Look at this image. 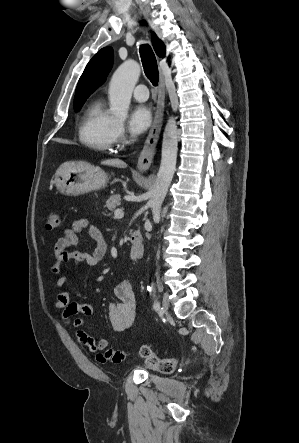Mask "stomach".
<instances>
[{"instance_id": "0dacf381", "label": "stomach", "mask_w": 299, "mask_h": 443, "mask_svg": "<svg viewBox=\"0 0 299 443\" xmlns=\"http://www.w3.org/2000/svg\"><path fill=\"white\" fill-rule=\"evenodd\" d=\"M108 175L99 167L84 162L62 164L55 174L57 190L67 196H77L104 188Z\"/></svg>"}]
</instances>
